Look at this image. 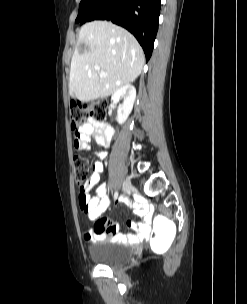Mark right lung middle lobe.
Segmentation results:
<instances>
[{
	"mask_svg": "<svg viewBox=\"0 0 247 304\" xmlns=\"http://www.w3.org/2000/svg\"><path fill=\"white\" fill-rule=\"evenodd\" d=\"M104 0H81L75 23L87 18Z\"/></svg>",
	"mask_w": 247,
	"mask_h": 304,
	"instance_id": "right-lung-middle-lobe-1",
	"label": "right lung middle lobe"
}]
</instances>
